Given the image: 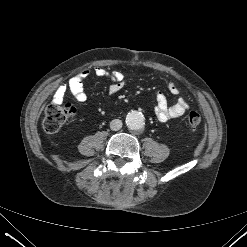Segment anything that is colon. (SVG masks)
I'll return each mask as SVG.
<instances>
[{"label": "colon", "mask_w": 247, "mask_h": 247, "mask_svg": "<svg viewBox=\"0 0 247 247\" xmlns=\"http://www.w3.org/2000/svg\"><path fill=\"white\" fill-rule=\"evenodd\" d=\"M76 110L71 104L61 105L57 103L49 104L45 109L43 128L49 134L57 133L62 126L74 116ZM201 115L197 111L188 114L187 122L192 130L201 124Z\"/></svg>", "instance_id": "5ec220e1"}]
</instances>
